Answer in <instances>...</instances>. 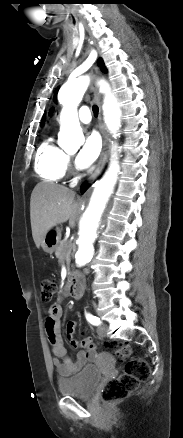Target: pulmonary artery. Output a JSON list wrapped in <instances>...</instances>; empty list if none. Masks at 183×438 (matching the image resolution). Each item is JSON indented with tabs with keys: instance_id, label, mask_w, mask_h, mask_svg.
Listing matches in <instances>:
<instances>
[{
	"instance_id": "pulmonary-artery-1",
	"label": "pulmonary artery",
	"mask_w": 183,
	"mask_h": 438,
	"mask_svg": "<svg viewBox=\"0 0 183 438\" xmlns=\"http://www.w3.org/2000/svg\"><path fill=\"white\" fill-rule=\"evenodd\" d=\"M78 117L82 123H85V124L89 123L91 121L90 109L87 106H82L79 109Z\"/></svg>"
}]
</instances>
